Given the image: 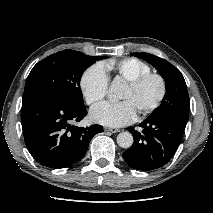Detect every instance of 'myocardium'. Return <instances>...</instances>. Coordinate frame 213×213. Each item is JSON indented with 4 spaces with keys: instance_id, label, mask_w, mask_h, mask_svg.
I'll list each match as a JSON object with an SVG mask.
<instances>
[{
    "instance_id": "f54148a6",
    "label": "myocardium",
    "mask_w": 213,
    "mask_h": 213,
    "mask_svg": "<svg viewBox=\"0 0 213 213\" xmlns=\"http://www.w3.org/2000/svg\"><path fill=\"white\" fill-rule=\"evenodd\" d=\"M150 80H155L158 83L159 92H158V95L155 97V99L151 103H149L148 105H146L139 111V114L142 116L153 112L163 102V100L166 96V93H167L166 81L162 75H160L158 73L149 72V73L143 74L133 80H130L127 85L131 89H139L146 82H148Z\"/></svg>"
}]
</instances>
